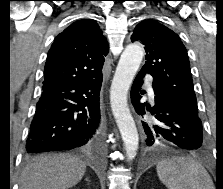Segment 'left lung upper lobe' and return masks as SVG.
Instances as JSON below:
<instances>
[{
  "instance_id": "left-lung-upper-lobe-1",
  "label": "left lung upper lobe",
  "mask_w": 223,
  "mask_h": 189,
  "mask_svg": "<svg viewBox=\"0 0 223 189\" xmlns=\"http://www.w3.org/2000/svg\"><path fill=\"white\" fill-rule=\"evenodd\" d=\"M131 40L145 46L141 70L153 76L171 103L198 115L189 59L179 36L157 21L145 20L136 26Z\"/></svg>"
}]
</instances>
